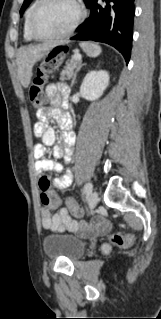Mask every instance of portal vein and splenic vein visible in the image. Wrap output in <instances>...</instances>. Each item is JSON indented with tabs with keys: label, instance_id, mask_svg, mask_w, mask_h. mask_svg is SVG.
<instances>
[{
	"label": "portal vein and splenic vein",
	"instance_id": "1",
	"mask_svg": "<svg viewBox=\"0 0 161 319\" xmlns=\"http://www.w3.org/2000/svg\"><path fill=\"white\" fill-rule=\"evenodd\" d=\"M74 59H76V60H81V55L80 54H75L74 55Z\"/></svg>",
	"mask_w": 161,
	"mask_h": 319
}]
</instances>
